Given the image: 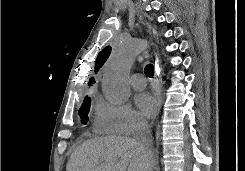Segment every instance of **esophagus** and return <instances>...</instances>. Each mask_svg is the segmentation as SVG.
<instances>
[{
  "mask_svg": "<svg viewBox=\"0 0 245 171\" xmlns=\"http://www.w3.org/2000/svg\"><path fill=\"white\" fill-rule=\"evenodd\" d=\"M161 66L159 63L158 58L155 59V74H154V90H155V95L157 98V103H158V109L157 112H160V108H161V103H162V97H161V87H160V79H159V75L161 72Z\"/></svg>",
  "mask_w": 245,
  "mask_h": 171,
  "instance_id": "obj_1",
  "label": "esophagus"
}]
</instances>
